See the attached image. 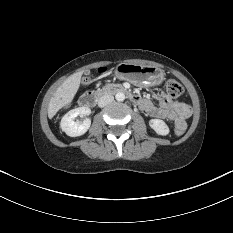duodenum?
<instances>
[{
    "label": "duodenum",
    "instance_id": "obj_1",
    "mask_svg": "<svg viewBox=\"0 0 233 233\" xmlns=\"http://www.w3.org/2000/svg\"><path fill=\"white\" fill-rule=\"evenodd\" d=\"M119 92L127 94L133 102L135 103L139 102V97L131 94L126 88L119 85H111L107 87L102 93L89 92L83 94L79 99V103L81 106L84 107H92L96 104L97 100L101 95L108 93H119Z\"/></svg>",
    "mask_w": 233,
    "mask_h": 233
}]
</instances>
